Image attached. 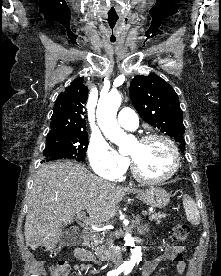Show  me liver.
Listing matches in <instances>:
<instances>
[{"label": "liver", "mask_w": 221, "mask_h": 276, "mask_svg": "<svg viewBox=\"0 0 221 276\" xmlns=\"http://www.w3.org/2000/svg\"><path fill=\"white\" fill-rule=\"evenodd\" d=\"M140 192L99 178L73 161L46 163L35 178L25 220L26 245L53 248L78 213L87 211L94 223L107 222L123 196Z\"/></svg>", "instance_id": "obj_1"}]
</instances>
